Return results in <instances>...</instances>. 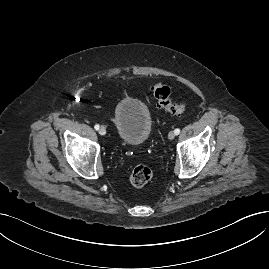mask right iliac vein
<instances>
[{
  "label": "right iliac vein",
  "mask_w": 269,
  "mask_h": 269,
  "mask_svg": "<svg viewBox=\"0 0 269 269\" xmlns=\"http://www.w3.org/2000/svg\"><path fill=\"white\" fill-rule=\"evenodd\" d=\"M100 135H105L106 134V128L104 126H101L98 130Z\"/></svg>",
  "instance_id": "1"
}]
</instances>
